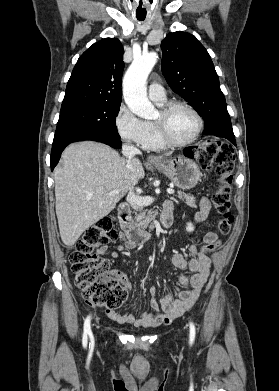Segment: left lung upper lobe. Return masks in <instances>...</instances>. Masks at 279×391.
Masks as SVG:
<instances>
[{"label":"left lung upper lobe","instance_id":"left-lung-upper-lobe-1","mask_svg":"<svg viewBox=\"0 0 279 391\" xmlns=\"http://www.w3.org/2000/svg\"><path fill=\"white\" fill-rule=\"evenodd\" d=\"M161 69L171 89L189 102L205 122L204 135H233L224 94L213 62L195 36L177 31L161 43Z\"/></svg>","mask_w":279,"mask_h":391}]
</instances>
